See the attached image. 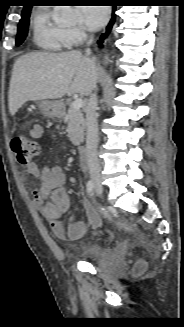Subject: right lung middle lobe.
<instances>
[{
  "mask_svg": "<svg viewBox=\"0 0 184 327\" xmlns=\"http://www.w3.org/2000/svg\"><path fill=\"white\" fill-rule=\"evenodd\" d=\"M21 20L19 22L18 26V32H17V39H16V45L19 46L27 37L28 34V25H29V17H30V10L27 12L22 13Z\"/></svg>",
  "mask_w": 184,
  "mask_h": 327,
  "instance_id": "right-lung-middle-lobe-1",
  "label": "right lung middle lobe"
}]
</instances>
